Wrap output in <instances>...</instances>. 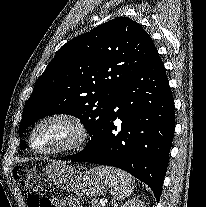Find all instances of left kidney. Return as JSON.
I'll return each instance as SVG.
<instances>
[{"mask_svg": "<svg viewBox=\"0 0 206 207\" xmlns=\"http://www.w3.org/2000/svg\"><path fill=\"white\" fill-rule=\"evenodd\" d=\"M121 207H146V206L143 201L133 198L125 202V204H123Z\"/></svg>", "mask_w": 206, "mask_h": 207, "instance_id": "5707ae66", "label": "left kidney"}]
</instances>
